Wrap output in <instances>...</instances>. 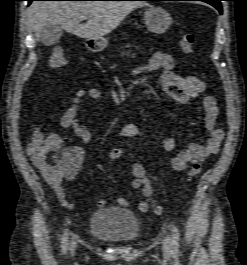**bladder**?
Segmentation results:
<instances>
[{"instance_id": "1", "label": "bladder", "mask_w": 247, "mask_h": 265, "mask_svg": "<svg viewBox=\"0 0 247 265\" xmlns=\"http://www.w3.org/2000/svg\"><path fill=\"white\" fill-rule=\"evenodd\" d=\"M88 232L111 242L131 243L140 235V223L132 210L110 206L91 214Z\"/></svg>"}]
</instances>
